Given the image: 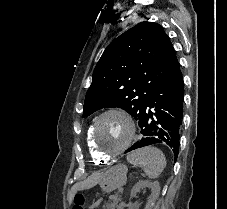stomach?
<instances>
[{
    "label": "stomach",
    "instance_id": "0dacf381",
    "mask_svg": "<svg viewBox=\"0 0 227 209\" xmlns=\"http://www.w3.org/2000/svg\"><path fill=\"white\" fill-rule=\"evenodd\" d=\"M127 167L118 164L103 172L100 177V186L105 192H112L126 184Z\"/></svg>",
    "mask_w": 227,
    "mask_h": 209
}]
</instances>
